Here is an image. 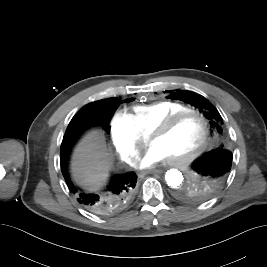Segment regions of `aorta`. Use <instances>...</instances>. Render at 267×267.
<instances>
[{
  "label": "aorta",
  "mask_w": 267,
  "mask_h": 267,
  "mask_svg": "<svg viewBox=\"0 0 267 267\" xmlns=\"http://www.w3.org/2000/svg\"><path fill=\"white\" fill-rule=\"evenodd\" d=\"M165 180L167 182V185L171 188H178L182 184L184 176L181 171L177 169H170L165 173Z\"/></svg>",
  "instance_id": "762f6f07"
}]
</instances>
